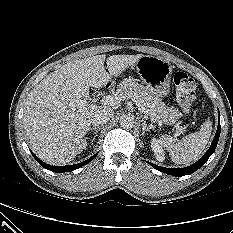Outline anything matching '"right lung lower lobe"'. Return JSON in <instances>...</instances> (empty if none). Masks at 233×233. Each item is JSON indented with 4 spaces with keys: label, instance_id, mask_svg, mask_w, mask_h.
<instances>
[{
    "label": "right lung lower lobe",
    "instance_id": "98d812e1",
    "mask_svg": "<svg viewBox=\"0 0 233 233\" xmlns=\"http://www.w3.org/2000/svg\"><path fill=\"white\" fill-rule=\"evenodd\" d=\"M32 155L34 156V158L37 160V162L43 166L44 168L52 171V172H69V171H73L75 169H78L84 165H86L87 163H89L92 159H94L96 157L97 154H95L94 156H92L91 158L87 159L84 162L75 164V165H70V166H51L49 164H46L45 162L41 161L33 152H31Z\"/></svg>",
    "mask_w": 233,
    "mask_h": 233
}]
</instances>
